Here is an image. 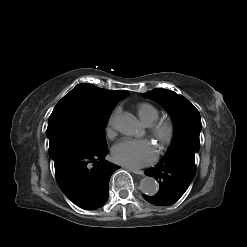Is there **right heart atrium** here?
Returning a JSON list of instances; mask_svg holds the SVG:
<instances>
[{
	"label": "right heart atrium",
	"mask_w": 247,
	"mask_h": 247,
	"mask_svg": "<svg viewBox=\"0 0 247 247\" xmlns=\"http://www.w3.org/2000/svg\"><path fill=\"white\" fill-rule=\"evenodd\" d=\"M119 114V108L114 109V111L111 113V115L108 118L105 132L107 137L112 138L115 135L116 130V120L117 116Z\"/></svg>",
	"instance_id": "obj_1"
}]
</instances>
